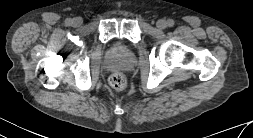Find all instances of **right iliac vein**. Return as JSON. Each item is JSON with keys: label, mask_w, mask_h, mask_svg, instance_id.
<instances>
[{"label": "right iliac vein", "mask_w": 253, "mask_h": 138, "mask_svg": "<svg viewBox=\"0 0 253 138\" xmlns=\"http://www.w3.org/2000/svg\"><path fill=\"white\" fill-rule=\"evenodd\" d=\"M78 24H80V20L79 19H74L73 22H72V25L76 26Z\"/></svg>", "instance_id": "1"}]
</instances>
